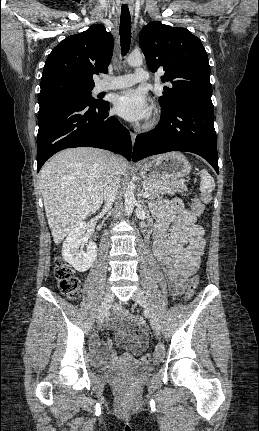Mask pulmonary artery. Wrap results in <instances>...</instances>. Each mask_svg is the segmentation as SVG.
Here are the masks:
<instances>
[{
	"label": "pulmonary artery",
	"mask_w": 259,
	"mask_h": 431,
	"mask_svg": "<svg viewBox=\"0 0 259 431\" xmlns=\"http://www.w3.org/2000/svg\"><path fill=\"white\" fill-rule=\"evenodd\" d=\"M150 79L149 73L142 69H136L134 74H125L115 77H106L99 85L100 91L123 89L134 85L137 82H146Z\"/></svg>",
	"instance_id": "obj_1"
}]
</instances>
